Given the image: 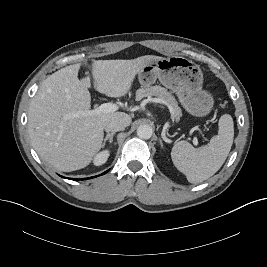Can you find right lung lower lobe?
Masks as SVG:
<instances>
[{"label":"right lung lower lobe","mask_w":267,"mask_h":267,"mask_svg":"<svg viewBox=\"0 0 267 267\" xmlns=\"http://www.w3.org/2000/svg\"><path fill=\"white\" fill-rule=\"evenodd\" d=\"M106 172H104L103 174H105ZM72 180H78V179H72Z\"/></svg>","instance_id":"right-lung-lower-lobe-1"}]
</instances>
